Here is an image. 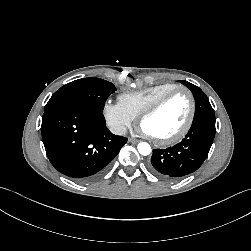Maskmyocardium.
Segmentation results:
<instances>
[{
    "label": "myocardium",
    "mask_w": 251,
    "mask_h": 251,
    "mask_svg": "<svg viewBox=\"0 0 251 251\" xmlns=\"http://www.w3.org/2000/svg\"><path fill=\"white\" fill-rule=\"evenodd\" d=\"M178 93H184L189 99L190 111H189L188 118L185 124L183 125V127L177 133H175L174 135L170 137L156 138V137L150 136V138L159 145L166 146V145L175 144L179 142L180 140H182L190 131L193 125L194 119H195V114H196V101L192 92L185 87L174 88L168 91L167 93H165L164 95H162L160 98H158L153 104H151L148 108H146L138 117V123L140 126H142V123L145 119L157 113L169 99H171L173 96H175Z\"/></svg>",
    "instance_id": "obj_1"
}]
</instances>
